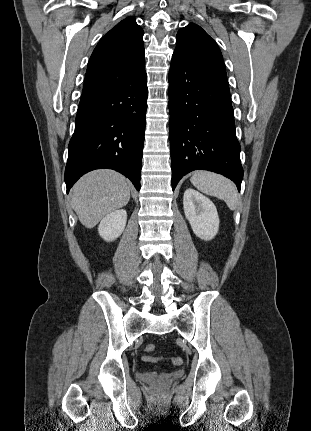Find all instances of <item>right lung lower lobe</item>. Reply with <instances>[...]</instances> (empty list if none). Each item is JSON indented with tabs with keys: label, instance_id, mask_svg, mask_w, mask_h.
Here are the masks:
<instances>
[{
	"label": "right lung lower lobe",
	"instance_id": "right-lung-lower-lobe-1",
	"mask_svg": "<svg viewBox=\"0 0 311 431\" xmlns=\"http://www.w3.org/2000/svg\"><path fill=\"white\" fill-rule=\"evenodd\" d=\"M147 94L145 67L127 80L83 91L68 146L67 193L98 168L122 173L140 190Z\"/></svg>",
	"mask_w": 311,
	"mask_h": 431
}]
</instances>
